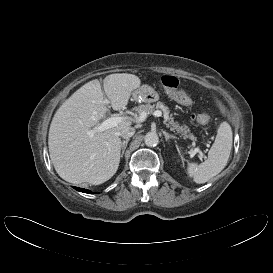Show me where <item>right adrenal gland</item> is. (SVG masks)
<instances>
[{"mask_svg": "<svg viewBox=\"0 0 273 273\" xmlns=\"http://www.w3.org/2000/svg\"><path fill=\"white\" fill-rule=\"evenodd\" d=\"M128 142H129V139H126V140H124V141L121 143V150H122V152H121V158H122L123 155H124V152H125V150H126V147H127Z\"/></svg>", "mask_w": 273, "mask_h": 273, "instance_id": "obj_1", "label": "right adrenal gland"}]
</instances>
